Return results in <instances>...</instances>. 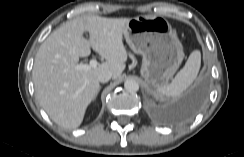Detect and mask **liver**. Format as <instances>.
<instances>
[{"mask_svg":"<svg viewBox=\"0 0 244 157\" xmlns=\"http://www.w3.org/2000/svg\"><path fill=\"white\" fill-rule=\"evenodd\" d=\"M129 18L86 16L63 23L39 47L32 71L36 98L59 126L75 129L100 90L98 75L110 71L117 79L125 69L123 34ZM88 32L90 41L83 33ZM93 48L106 61L88 71L76 70L80 57Z\"/></svg>","mask_w":244,"mask_h":157,"instance_id":"obj_1","label":"liver"}]
</instances>
